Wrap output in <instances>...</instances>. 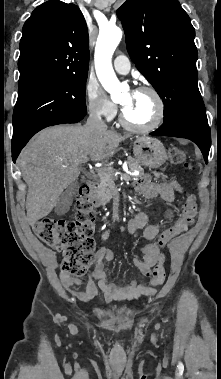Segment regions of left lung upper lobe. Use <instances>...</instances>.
Instances as JSON below:
<instances>
[{"label":"left lung upper lobe","instance_id":"left-lung-upper-lobe-1","mask_svg":"<svg viewBox=\"0 0 221 379\" xmlns=\"http://www.w3.org/2000/svg\"><path fill=\"white\" fill-rule=\"evenodd\" d=\"M128 53L174 116L207 120L197 84L195 30L178 0H126L116 11Z\"/></svg>","mask_w":221,"mask_h":379}]
</instances>
